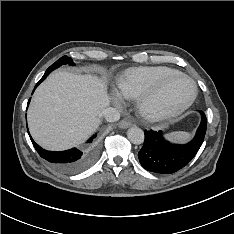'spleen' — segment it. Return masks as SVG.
<instances>
[{
  "label": "spleen",
  "instance_id": "1",
  "mask_svg": "<svg viewBox=\"0 0 234 234\" xmlns=\"http://www.w3.org/2000/svg\"><path fill=\"white\" fill-rule=\"evenodd\" d=\"M165 137L174 142L185 143L190 139L191 134L188 132L179 131L167 134Z\"/></svg>",
  "mask_w": 234,
  "mask_h": 234
}]
</instances>
